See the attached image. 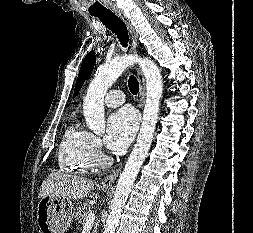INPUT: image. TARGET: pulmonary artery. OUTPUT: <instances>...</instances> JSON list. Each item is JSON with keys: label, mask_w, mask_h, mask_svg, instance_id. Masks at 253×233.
I'll use <instances>...</instances> for the list:
<instances>
[{"label": "pulmonary artery", "mask_w": 253, "mask_h": 233, "mask_svg": "<svg viewBox=\"0 0 253 233\" xmlns=\"http://www.w3.org/2000/svg\"><path fill=\"white\" fill-rule=\"evenodd\" d=\"M125 101V95L120 90H111L109 91L104 98V102L109 107H118L122 105Z\"/></svg>", "instance_id": "pulmonary-artery-1"}]
</instances>
